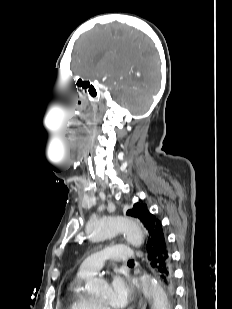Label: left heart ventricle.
I'll return each instance as SVG.
<instances>
[{
  "mask_svg": "<svg viewBox=\"0 0 232 309\" xmlns=\"http://www.w3.org/2000/svg\"><path fill=\"white\" fill-rule=\"evenodd\" d=\"M110 297H111L110 288L106 287L101 296L98 298V302L104 305H110Z\"/></svg>",
  "mask_w": 232,
  "mask_h": 309,
  "instance_id": "left-heart-ventricle-1",
  "label": "left heart ventricle"
}]
</instances>
